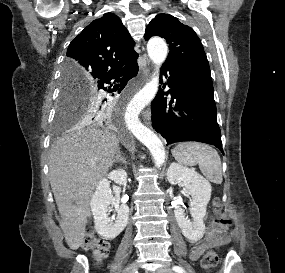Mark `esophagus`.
<instances>
[{"label": "esophagus", "instance_id": "34e87169", "mask_svg": "<svg viewBox=\"0 0 285 273\" xmlns=\"http://www.w3.org/2000/svg\"><path fill=\"white\" fill-rule=\"evenodd\" d=\"M150 76V69L149 68H145L143 69L142 71V77H143V80L142 82H145ZM143 116H144V120L146 122H148L151 118V112L150 110H146L144 113H143Z\"/></svg>", "mask_w": 285, "mask_h": 273}]
</instances>
